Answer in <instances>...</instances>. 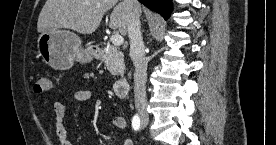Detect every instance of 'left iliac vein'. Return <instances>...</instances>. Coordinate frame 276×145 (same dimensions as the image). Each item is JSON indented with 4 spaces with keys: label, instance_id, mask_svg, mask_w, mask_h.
<instances>
[{
    "label": "left iliac vein",
    "instance_id": "obj_1",
    "mask_svg": "<svg viewBox=\"0 0 276 145\" xmlns=\"http://www.w3.org/2000/svg\"><path fill=\"white\" fill-rule=\"evenodd\" d=\"M146 125H147V119L142 121L141 128H145Z\"/></svg>",
    "mask_w": 276,
    "mask_h": 145
}]
</instances>
